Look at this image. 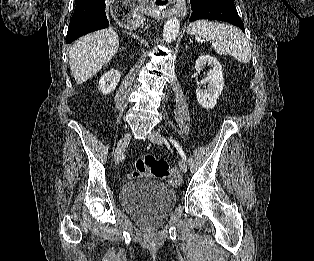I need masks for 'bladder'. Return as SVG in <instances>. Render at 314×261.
Segmentation results:
<instances>
[{"label": "bladder", "mask_w": 314, "mask_h": 261, "mask_svg": "<svg viewBox=\"0 0 314 261\" xmlns=\"http://www.w3.org/2000/svg\"><path fill=\"white\" fill-rule=\"evenodd\" d=\"M120 202L128 215L154 226L167 220L176 204V193L162 182L134 180L121 187Z\"/></svg>", "instance_id": "1"}]
</instances>
